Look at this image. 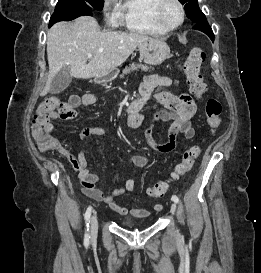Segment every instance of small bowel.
<instances>
[{
  "instance_id": "c3829d8e",
  "label": "small bowel",
  "mask_w": 261,
  "mask_h": 273,
  "mask_svg": "<svg viewBox=\"0 0 261 273\" xmlns=\"http://www.w3.org/2000/svg\"><path fill=\"white\" fill-rule=\"evenodd\" d=\"M177 84L178 81L170 77L149 75L145 77L140 86V95L142 99L147 100L153 98L163 106L162 110H159L154 114L153 123L148 127L145 135L149 147L156 152L168 153L173 151L176 148L179 135L186 140H190L195 136V129L192 127L190 121L197 110L194 99L185 93L175 95L167 91H155L157 87L177 86ZM95 101V96L92 94H85L81 99V103L85 106L93 105ZM56 119H60L57 112H53L48 117L46 128L49 131L53 130V125L50 121ZM156 122L168 123V137L165 142H158L154 136V124ZM128 125L131 126L129 119ZM79 136L81 139H85L90 136L104 137L106 134L105 131L100 128L90 127L83 129ZM59 152L77 171L81 189L85 195L96 201L106 203L118 214H127L128 210L117 204L116 197L126 192L133 191L135 184L134 179L127 178L123 187L113 190L111 195H105L96 187V183L99 181V175L88 168L85 151L74 154L68 148L60 146ZM127 162L136 167L144 168L149 164V159L142 155H133L127 158ZM161 209V205L154 206L155 211H160ZM131 214L138 217H145L150 214V211L147 209H133L131 210Z\"/></svg>"
}]
</instances>
